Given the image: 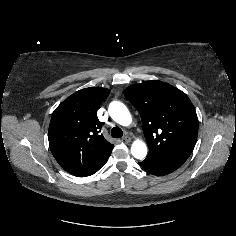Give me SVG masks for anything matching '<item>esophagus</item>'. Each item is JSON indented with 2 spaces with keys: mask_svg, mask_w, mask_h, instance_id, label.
<instances>
[{
  "mask_svg": "<svg viewBox=\"0 0 236 236\" xmlns=\"http://www.w3.org/2000/svg\"><path fill=\"white\" fill-rule=\"evenodd\" d=\"M123 140H124L126 143H129V142H131V137L128 136V135H126V136L123 137Z\"/></svg>",
  "mask_w": 236,
  "mask_h": 236,
  "instance_id": "obj_1",
  "label": "esophagus"
}]
</instances>
